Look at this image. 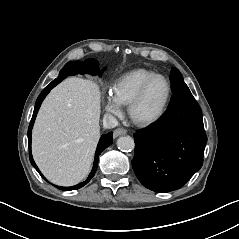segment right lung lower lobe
<instances>
[{"instance_id": "98d812e1", "label": "right lung lower lobe", "mask_w": 239, "mask_h": 239, "mask_svg": "<svg viewBox=\"0 0 239 239\" xmlns=\"http://www.w3.org/2000/svg\"><path fill=\"white\" fill-rule=\"evenodd\" d=\"M98 62L94 59H87L84 62L81 61H76V62H69L65 65V67L60 71L59 76L53 80L42 92L41 94L38 96L36 103H35V108H34V112H33V116L28 128V143H29V154H30V162L31 164L36 168V170L39 172V174L44 178V176L41 174L40 170L38 169V167L36 166L33 158H32V154H31V133H32V127L36 118V115L38 113V110L40 108V105L43 101V99L46 97V95L50 92V90L52 88H54L58 83H60L62 80H64L67 76L70 75H75V74H83L85 72L91 73L92 75H95L98 73ZM113 133L110 132L108 134L102 135L98 146H97V150H96V154H95V160H94V164H93V168H92V172L89 174L88 178L86 181H84L83 183H79L75 186H71V187H61V186H56L58 189L64 190V191H70V190H76L79 189L81 187H83L84 185H86L90 179L94 176L97 166H98V159H99V155L101 154V152L103 150H105L108 146H110L113 143Z\"/></svg>"}]
</instances>
